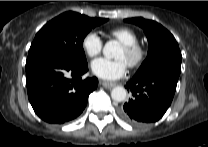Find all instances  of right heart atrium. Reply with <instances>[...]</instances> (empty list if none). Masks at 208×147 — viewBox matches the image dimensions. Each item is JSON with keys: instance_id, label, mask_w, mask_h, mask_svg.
<instances>
[{"instance_id": "obj_1", "label": "right heart atrium", "mask_w": 208, "mask_h": 147, "mask_svg": "<svg viewBox=\"0 0 208 147\" xmlns=\"http://www.w3.org/2000/svg\"><path fill=\"white\" fill-rule=\"evenodd\" d=\"M82 47L85 53L93 58L99 55L103 48L101 37L95 32L87 33L82 40Z\"/></svg>"}]
</instances>
